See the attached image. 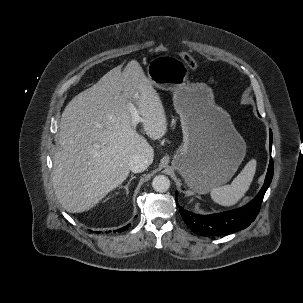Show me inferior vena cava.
I'll return each instance as SVG.
<instances>
[{"instance_id": "obj_1", "label": "inferior vena cava", "mask_w": 303, "mask_h": 303, "mask_svg": "<svg viewBox=\"0 0 303 303\" xmlns=\"http://www.w3.org/2000/svg\"><path fill=\"white\" fill-rule=\"evenodd\" d=\"M129 169L134 173H140L147 169L150 165L149 159L143 155H134L129 160Z\"/></svg>"}]
</instances>
